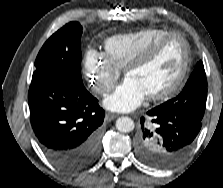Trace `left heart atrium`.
I'll return each mask as SVG.
<instances>
[{"label": "left heart atrium", "instance_id": "1", "mask_svg": "<svg viewBox=\"0 0 223 188\" xmlns=\"http://www.w3.org/2000/svg\"><path fill=\"white\" fill-rule=\"evenodd\" d=\"M146 96L144 90L134 80L127 77L105 98L104 105L112 111L128 112L137 108Z\"/></svg>", "mask_w": 223, "mask_h": 188}]
</instances>
